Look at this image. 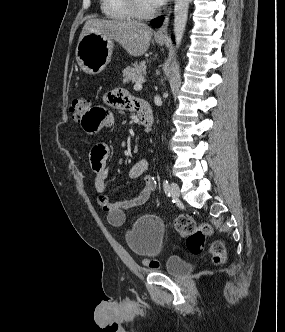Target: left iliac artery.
<instances>
[{"mask_svg": "<svg viewBox=\"0 0 285 332\" xmlns=\"http://www.w3.org/2000/svg\"><path fill=\"white\" fill-rule=\"evenodd\" d=\"M163 189L166 195L170 196V187L167 180H163Z\"/></svg>", "mask_w": 285, "mask_h": 332, "instance_id": "1", "label": "left iliac artery"}]
</instances>
